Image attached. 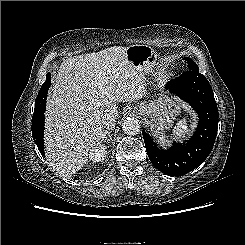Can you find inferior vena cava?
Instances as JSON below:
<instances>
[{
	"label": "inferior vena cava",
	"instance_id": "obj_1",
	"mask_svg": "<svg viewBox=\"0 0 245 245\" xmlns=\"http://www.w3.org/2000/svg\"><path fill=\"white\" fill-rule=\"evenodd\" d=\"M102 123L103 125L109 130L112 129L116 124V115L112 112H105L102 116Z\"/></svg>",
	"mask_w": 245,
	"mask_h": 245
}]
</instances>
